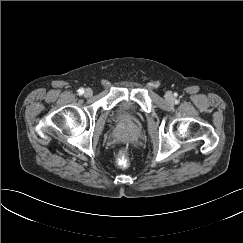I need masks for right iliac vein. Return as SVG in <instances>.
<instances>
[{
    "mask_svg": "<svg viewBox=\"0 0 243 243\" xmlns=\"http://www.w3.org/2000/svg\"><path fill=\"white\" fill-rule=\"evenodd\" d=\"M92 94H93V91H92V89H90V88H87V89L84 91V96H86V97H90V96H92Z\"/></svg>",
    "mask_w": 243,
    "mask_h": 243,
    "instance_id": "right-iliac-vein-1",
    "label": "right iliac vein"
}]
</instances>
